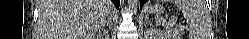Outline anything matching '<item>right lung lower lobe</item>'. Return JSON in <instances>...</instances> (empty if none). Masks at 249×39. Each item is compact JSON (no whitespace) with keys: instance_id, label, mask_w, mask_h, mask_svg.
Here are the masks:
<instances>
[{"instance_id":"obj_1","label":"right lung lower lobe","mask_w":249,"mask_h":39,"mask_svg":"<svg viewBox=\"0 0 249 39\" xmlns=\"http://www.w3.org/2000/svg\"><path fill=\"white\" fill-rule=\"evenodd\" d=\"M116 6V8L118 9L119 8V5H120V0H112Z\"/></svg>"}]
</instances>
